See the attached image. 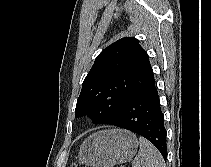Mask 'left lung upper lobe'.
Here are the masks:
<instances>
[{
  "instance_id": "obj_1",
  "label": "left lung upper lobe",
  "mask_w": 211,
  "mask_h": 167,
  "mask_svg": "<svg viewBox=\"0 0 211 167\" xmlns=\"http://www.w3.org/2000/svg\"><path fill=\"white\" fill-rule=\"evenodd\" d=\"M153 77L149 56L139 41L119 39L97 56L83 82L76 117L87 115L94 124L107 123Z\"/></svg>"
}]
</instances>
